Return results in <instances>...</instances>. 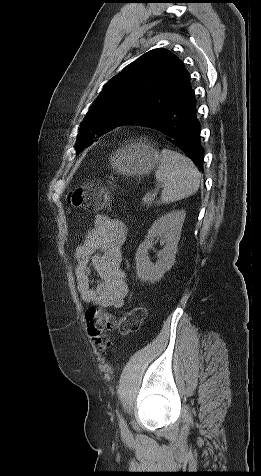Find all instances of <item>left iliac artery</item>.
<instances>
[{
    "label": "left iliac artery",
    "mask_w": 261,
    "mask_h": 476,
    "mask_svg": "<svg viewBox=\"0 0 261 476\" xmlns=\"http://www.w3.org/2000/svg\"><path fill=\"white\" fill-rule=\"evenodd\" d=\"M119 422H120V427L123 431H126L127 430V424H126V421L124 420V418L119 415Z\"/></svg>",
    "instance_id": "44dca946"
}]
</instances>
